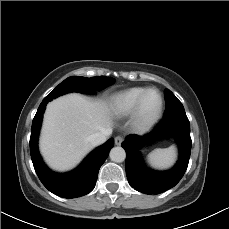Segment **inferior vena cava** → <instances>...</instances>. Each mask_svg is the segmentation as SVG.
Wrapping results in <instances>:
<instances>
[{
  "instance_id": "602c4592",
  "label": "inferior vena cava",
  "mask_w": 229,
  "mask_h": 229,
  "mask_svg": "<svg viewBox=\"0 0 229 229\" xmlns=\"http://www.w3.org/2000/svg\"><path fill=\"white\" fill-rule=\"evenodd\" d=\"M112 134L111 128H104L100 132H96L89 136V141L92 144V146H98L102 143H104L107 140V137Z\"/></svg>"
}]
</instances>
